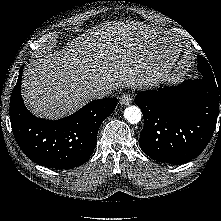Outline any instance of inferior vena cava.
<instances>
[{
    "label": "inferior vena cava",
    "instance_id": "602c4592",
    "mask_svg": "<svg viewBox=\"0 0 221 221\" xmlns=\"http://www.w3.org/2000/svg\"><path fill=\"white\" fill-rule=\"evenodd\" d=\"M109 94H110V91L105 88H97L90 92V96L92 98H97V99L107 97L109 96Z\"/></svg>",
    "mask_w": 221,
    "mask_h": 221
}]
</instances>
